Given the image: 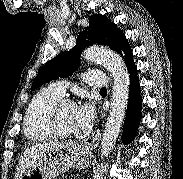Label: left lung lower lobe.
<instances>
[{
    "label": "left lung lower lobe",
    "instance_id": "0a47b994",
    "mask_svg": "<svg viewBox=\"0 0 183 179\" xmlns=\"http://www.w3.org/2000/svg\"><path fill=\"white\" fill-rule=\"evenodd\" d=\"M115 51L121 55L124 54L125 62L130 73L129 102L122 134V142L127 144L130 143L135 137L138 125L140 123L142 99L140 95L139 80L137 77V68L133 61L132 50L129 47L125 36L121 38Z\"/></svg>",
    "mask_w": 183,
    "mask_h": 179
}]
</instances>
